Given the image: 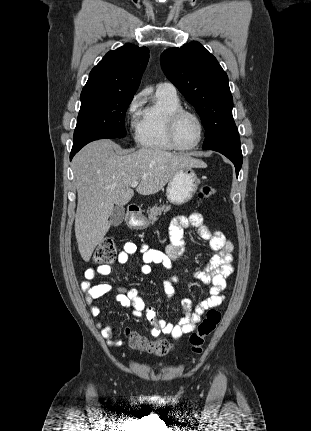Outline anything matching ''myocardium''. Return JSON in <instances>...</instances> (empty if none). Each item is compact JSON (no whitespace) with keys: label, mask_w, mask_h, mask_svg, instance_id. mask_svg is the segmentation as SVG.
<instances>
[{"label":"myocardium","mask_w":311,"mask_h":431,"mask_svg":"<svg viewBox=\"0 0 311 431\" xmlns=\"http://www.w3.org/2000/svg\"><path fill=\"white\" fill-rule=\"evenodd\" d=\"M187 114L193 115L198 119L200 126H201V135H200L198 141L194 145L189 146V147H184V146L180 145V143L178 141L177 126H178L180 119L184 115H187ZM167 130H168V137H169V140L171 141L172 145L176 149L182 150V151H189V150H193V149L197 148L202 143L204 136L207 134V126H206V123H205L203 117L198 112L191 110V109H187V108L178 109V110H176L170 114L169 119H168Z\"/></svg>","instance_id":"1"}]
</instances>
